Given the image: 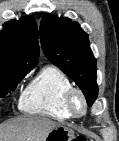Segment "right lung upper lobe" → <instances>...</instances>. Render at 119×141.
<instances>
[{
  "label": "right lung upper lobe",
  "instance_id": "right-lung-upper-lobe-1",
  "mask_svg": "<svg viewBox=\"0 0 119 141\" xmlns=\"http://www.w3.org/2000/svg\"><path fill=\"white\" fill-rule=\"evenodd\" d=\"M38 29L31 16L11 20L0 32V72L25 73L39 58Z\"/></svg>",
  "mask_w": 119,
  "mask_h": 141
}]
</instances>
